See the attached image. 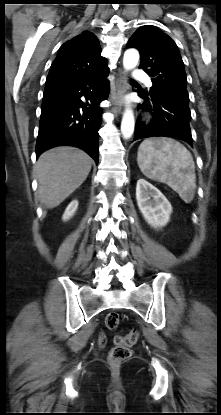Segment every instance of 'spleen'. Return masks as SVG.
Wrapping results in <instances>:
<instances>
[{"label": "spleen", "mask_w": 221, "mask_h": 415, "mask_svg": "<svg viewBox=\"0 0 221 415\" xmlns=\"http://www.w3.org/2000/svg\"><path fill=\"white\" fill-rule=\"evenodd\" d=\"M137 163L146 177L167 184L185 203L193 200L195 165L191 153L180 142L170 138L145 139L138 148Z\"/></svg>", "instance_id": "3e777b00"}]
</instances>
